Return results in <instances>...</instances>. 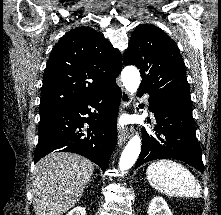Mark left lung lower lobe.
<instances>
[{
    "mask_svg": "<svg viewBox=\"0 0 221 215\" xmlns=\"http://www.w3.org/2000/svg\"><path fill=\"white\" fill-rule=\"evenodd\" d=\"M144 92L147 93L139 89V95ZM149 103V109L154 113L157 123L155 135H149L142 129V149L135 167L151 160L174 158L203 172L192 108L176 106L151 97Z\"/></svg>",
    "mask_w": 221,
    "mask_h": 215,
    "instance_id": "left-lung-lower-lobe-1",
    "label": "left lung lower lobe"
}]
</instances>
